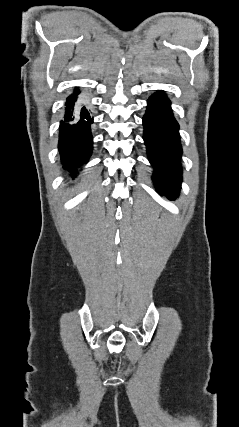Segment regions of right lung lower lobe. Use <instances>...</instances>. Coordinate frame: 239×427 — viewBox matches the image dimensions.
<instances>
[{"instance_id": "obj_1", "label": "right lung lower lobe", "mask_w": 239, "mask_h": 427, "mask_svg": "<svg viewBox=\"0 0 239 427\" xmlns=\"http://www.w3.org/2000/svg\"><path fill=\"white\" fill-rule=\"evenodd\" d=\"M78 93L76 89L67 98L64 120L61 121L59 131L58 147L61 161L71 172L87 163L93 148L91 134L93 117L81 102L76 103Z\"/></svg>"}]
</instances>
